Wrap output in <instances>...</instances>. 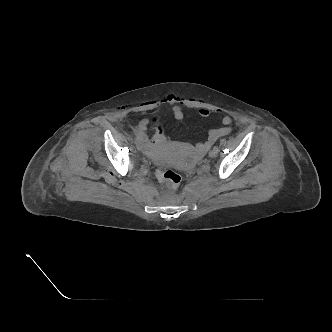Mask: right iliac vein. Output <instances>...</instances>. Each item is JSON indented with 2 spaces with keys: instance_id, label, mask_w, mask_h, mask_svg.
<instances>
[{
  "instance_id": "obj_1",
  "label": "right iliac vein",
  "mask_w": 332,
  "mask_h": 332,
  "mask_svg": "<svg viewBox=\"0 0 332 332\" xmlns=\"http://www.w3.org/2000/svg\"><path fill=\"white\" fill-rule=\"evenodd\" d=\"M136 147L138 150H142L144 143H143V138L142 137H137L135 141Z\"/></svg>"
}]
</instances>
